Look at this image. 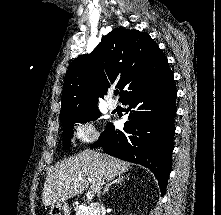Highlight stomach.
I'll list each match as a JSON object with an SVG mask.
<instances>
[{"label":"stomach","instance_id":"stomach-1","mask_svg":"<svg viewBox=\"0 0 221 215\" xmlns=\"http://www.w3.org/2000/svg\"><path fill=\"white\" fill-rule=\"evenodd\" d=\"M50 215H70V209L66 202L55 203L50 206Z\"/></svg>","mask_w":221,"mask_h":215}]
</instances>
